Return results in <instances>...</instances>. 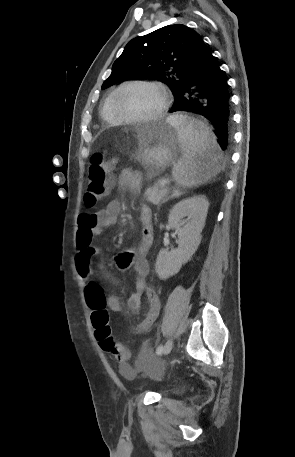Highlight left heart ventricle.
<instances>
[{
  "instance_id": "left-heart-ventricle-1",
  "label": "left heart ventricle",
  "mask_w": 295,
  "mask_h": 457,
  "mask_svg": "<svg viewBox=\"0 0 295 457\" xmlns=\"http://www.w3.org/2000/svg\"><path fill=\"white\" fill-rule=\"evenodd\" d=\"M162 94L153 86L136 85L124 89L118 99L121 111L133 117H147L161 108Z\"/></svg>"
}]
</instances>
